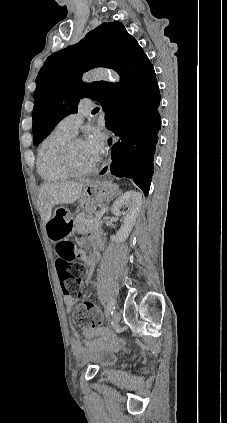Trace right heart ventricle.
I'll use <instances>...</instances> for the list:
<instances>
[{
    "label": "right heart ventricle",
    "mask_w": 227,
    "mask_h": 423,
    "mask_svg": "<svg viewBox=\"0 0 227 423\" xmlns=\"http://www.w3.org/2000/svg\"><path fill=\"white\" fill-rule=\"evenodd\" d=\"M71 138L73 135L57 126L40 142L36 165L38 174L44 181L58 182L68 177L61 167L59 152Z\"/></svg>",
    "instance_id": "obj_1"
}]
</instances>
